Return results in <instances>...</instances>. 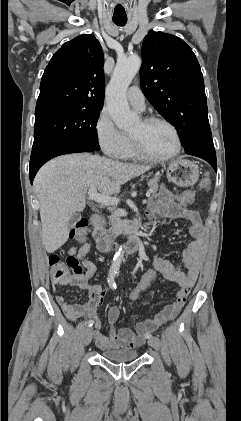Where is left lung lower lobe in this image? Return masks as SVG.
<instances>
[{
	"instance_id": "left-lung-lower-lobe-1",
	"label": "left lung lower lobe",
	"mask_w": 241,
	"mask_h": 421,
	"mask_svg": "<svg viewBox=\"0 0 241 421\" xmlns=\"http://www.w3.org/2000/svg\"><path fill=\"white\" fill-rule=\"evenodd\" d=\"M187 154L206 160L211 164L214 170L217 171V160L214 145H204L194 151L187 152Z\"/></svg>"
}]
</instances>
